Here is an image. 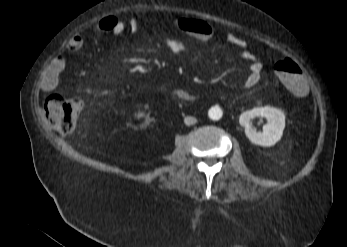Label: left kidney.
<instances>
[{
    "instance_id": "obj_1",
    "label": "left kidney",
    "mask_w": 347,
    "mask_h": 247,
    "mask_svg": "<svg viewBox=\"0 0 347 247\" xmlns=\"http://www.w3.org/2000/svg\"><path fill=\"white\" fill-rule=\"evenodd\" d=\"M255 117L266 118L267 124L263 127V132H257L251 120ZM239 123L245 128V134L249 140L260 146H274L282 137L285 128L284 113L270 106L255 107L252 110L243 112L239 117Z\"/></svg>"
}]
</instances>
